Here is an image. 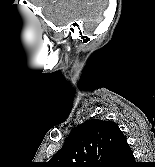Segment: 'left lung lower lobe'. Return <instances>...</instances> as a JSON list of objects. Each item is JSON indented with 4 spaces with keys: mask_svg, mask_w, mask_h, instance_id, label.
Wrapping results in <instances>:
<instances>
[{
    "mask_svg": "<svg viewBox=\"0 0 155 167\" xmlns=\"http://www.w3.org/2000/svg\"><path fill=\"white\" fill-rule=\"evenodd\" d=\"M130 162H134V156L125 139L121 142L116 157L110 167H127Z\"/></svg>",
    "mask_w": 155,
    "mask_h": 167,
    "instance_id": "obj_1",
    "label": "left lung lower lobe"
}]
</instances>
